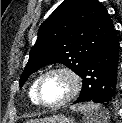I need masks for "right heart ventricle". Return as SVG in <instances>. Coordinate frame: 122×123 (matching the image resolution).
Here are the masks:
<instances>
[{"instance_id": "right-heart-ventricle-1", "label": "right heart ventricle", "mask_w": 122, "mask_h": 123, "mask_svg": "<svg viewBox=\"0 0 122 123\" xmlns=\"http://www.w3.org/2000/svg\"><path fill=\"white\" fill-rule=\"evenodd\" d=\"M40 76H37L31 83L30 87H29V90H28V96L31 100V102L35 105H39V102L37 100V97H36V86H37V83H38V80H39Z\"/></svg>"}]
</instances>
